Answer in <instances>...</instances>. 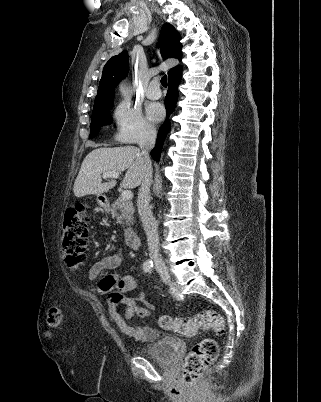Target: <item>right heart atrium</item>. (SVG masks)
<instances>
[{
  "label": "right heart atrium",
  "mask_w": 321,
  "mask_h": 402,
  "mask_svg": "<svg viewBox=\"0 0 321 402\" xmlns=\"http://www.w3.org/2000/svg\"><path fill=\"white\" fill-rule=\"evenodd\" d=\"M112 117L116 125L115 137L122 143H143L152 140L155 135L154 127L140 109L128 100L118 103Z\"/></svg>",
  "instance_id": "right-heart-atrium-1"
}]
</instances>
